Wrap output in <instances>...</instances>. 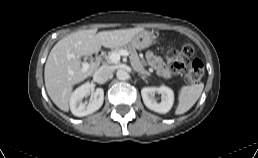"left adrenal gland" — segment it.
<instances>
[{"mask_svg":"<svg viewBox=\"0 0 258 158\" xmlns=\"http://www.w3.org/2000/svg\"><path fill=\"white\" fill-rule=\"evenodd\" d=\"M139 76H140L142 79H145V78H146L144 75H140V74H139Z\"/></svg>","mask_w":258,"mask_h":158,"instance_id":"1","label":"left adrenal gland"}]
</instances>
